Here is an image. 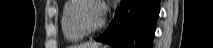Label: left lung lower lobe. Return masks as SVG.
Wrapping results in <instances>:
<instances>
[{"label":"left lung lower lobe","mask_w":213,"mask_h":48,"mask_svg":"<svg viewBox=\"0 0 213 48\" xmlns=\"http://www.w3.org/2000/svg\"><path fill=\"white\" fill-rule=\"evenodd\" d=\"M160 0H121L108 29L96 40L114 48H151Z\"/></svg>","instance_id":"obj_1"}]
</instances>
